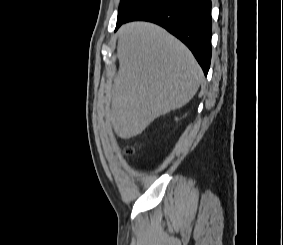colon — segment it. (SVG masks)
I'll use <instances>...</instances> for the list:
<instances>
[{"label":"colon","instance_id":"colon-1","mask_svg":"<svg viewBox=\"0 0 283 245\" xmlns=\"http://www.w3.org/2000/svg\"><path fill=\"white\" fill-rule=\"evenodd\" d=\"M135 152V149H134V147H132V146H130V147H128L127 149H126V153L127 154H133Z\"/></svg>","mask_w":283,"mask_h":245}]
</instances>
